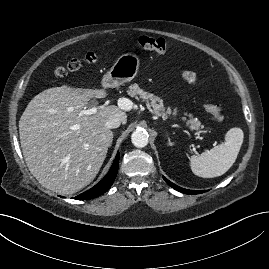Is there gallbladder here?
<instances>
[{
    "mask_svg": "<svg viewBox=\"0 0 269 269\" xmlns=\"http://www.w3.org/2000/svg\"><path fill=\"white\" fill-rule=\"evenodd\" d=\"M91 104H94V100L91 101Z\"/></svg>",
    "mask_w": 269,
    "mask_h": 269,
    "instance_id": "1",
    "label": "gallbladder"
}]
</instances>
